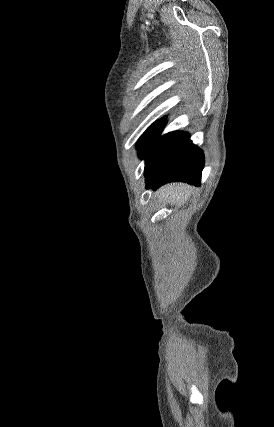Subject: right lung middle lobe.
I'll use <instances>...</instances> for the list:
<instances>
[{
	"mask_svg": "<svg viewBox=\"0 0 274 427\" xmlns=\"http://www.w3.org/2000/svg\"><path fill=\"white\" fill-rule=\"evenodd\" d=\"M164 122L165 119L157 121L156 123L151 125L141 137L137 144L140 158H144L146 156L152 144L158 139L159 134L161 133L162 128L164 126Z\"/></svg>",
	"mask_w": 274,
	"mask_h": 427,
	"instance_id": "right-lung-middle-lobe-1",
	"label": "right lung middle lobe"
}]
</instances>
